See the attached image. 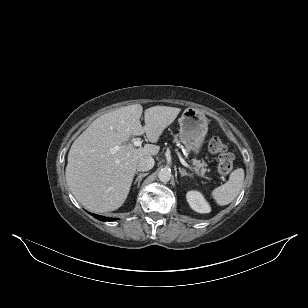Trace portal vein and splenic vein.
I'll return each mask as SVG.
<instances>
[{
	"instance_id": "portal-vein-and-splenic-vein-1",
	"label": "portal vein and splenic vein",
	"mask_w": 308,
	"mask_h": 308,
	"mask_svg": "<svg viewBox=\"0 0 308 308\" xmlns=\"http://www.w3.org/2000/svg\"><path fill=\"white\" fill-rule=\"evenodd\" d=\"M142 144V141L140 139H136L133 141V145L138 147V146H141ZM177 155L180 159V162L182 163V165H184L185 167L191 169V170H195V171H198L196 168L192 167L191 165H189L183 158L182 156L177 152Z\"/></svg>"
}]
</instances>
